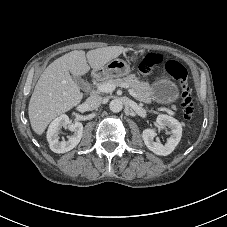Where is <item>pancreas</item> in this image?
Listing matches in <instances>:
<instances>
[{
	"instance_id": "pancreas-1",
	"label": "pancreas",
	"mask_w": 227,
	"mask_h": 227,
	"mask_svg": "<svg viewBox=\"0 0 227 227\" xmlns=\"http://www.w3.org/2000/svg\"><path fill=\"white\" fill-rule=\"evenodd\" d=\"M100 83H113L116 86H120L121 84H128L135 94V98L139 101L149 102L150 101V86L140 81L135 74H130L123 78H109V79H101Z\"/></svg>"
}]
</instances>
